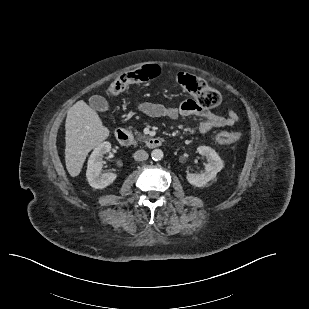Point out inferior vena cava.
Segmentation results:
<instances>
[{
  "instance_id": "inferior-vena-cava-1",
  "label": "inferior vena cava",
  "mask_w": 309,
  "mask_h": 309,
  "mask_svg": "<svg viewBox=\"0 0 309 309\" xmlns=\"http://www.w3.org/2000/svg\"><path fill=\"white\" fill-rule=\"evenodd\" d=\"M134 159L136 161H144V160H147L149 155L146 151L144 150H137L135 153H134Z\"/></svg>"
}]
</instances>
